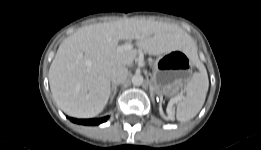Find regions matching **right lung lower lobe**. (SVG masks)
<instances>
[{"instance_id":"obj_1","label":"right lung lower lobe","mask_w":261,"mask_h":150,"mask_svg":"<svg viewBox=\"0 0 261 150\" xmlns=\"http://www.w3.org/2000/svg\"><path fill=\"white\" fill-rule=\"evenodd\" d=\"M109 119V116L100 118V119H74L70 118V120L74 123L83 124V125H98L103 123Z\"/></svg>"}]
</instances>
